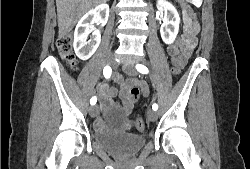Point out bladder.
Returning a JSON list of instances; mask_svg holds the SVG:
<instances>
[{
    "instance_id": "31cf9c89",
    "label": "bladder",
    "mask_w": 250,
    "mask_h": 169,
    "mask_svg": "<svg viewBox=\"0 0 250 169\" xmlns=\"http://www.w3.org/2000/svg\"><path fill=\"white\" fill-rule=\"evenodd\" d=\"M93 143L107 152L114 153L119 158L136 155L146 141V134L130 133H93Z\"/></svg>"
}]
</instances>
